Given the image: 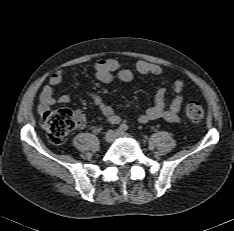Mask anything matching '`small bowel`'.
<instances>
[{"mask_svg":"<svg viewBox=\"0 0 234 231\" xmlns=\"http://www.w3.org/2000/svg\"><path fill=\"white\" fill-rule=\"evenodd\" d=\"M135 69L138 73L143 75L161 76L164 73L161 66L147 61H138L135 64ZM93 70L95 77L103 83H110L115 80L127 82L133 78V72L131 69L113 58L99 59L95 61L93 64ZM63 78V71L58 70L51 75L48 83L43 87L40 94L39 106V110L41 112L47 111L50 106L56 102L60 104H68L71 101L70 96L66 94L55 97L54 88L61 84ZM183 88L184 83L181 80H176L172 83L171 91L173 93V98L169 107L166 108V88L160 87L156 91L153 105L140 115L139 122L145 124L152 120L164 119L172 123H181L179 112L184 104V98L181 94ZM87 96L108 121L117 116L115 110L104 101L100 94L89 92ZM75 124L78 129L83 128L85 125V115L80 110L75 112Z\"/></svg>","mask_w":234,"mask_h":231,"instance_id":"small-bowel-1","label":"small bowel"}]
</instances>
